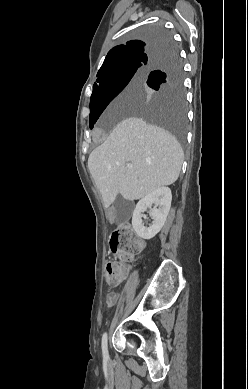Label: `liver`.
<instances>
[{"label":"liver","instance_id":"6515ba94","mask_svg":"<svg viewBox=\"0 0 248 389\" xmlns=\"http://www.w3.org/2000/svg\"><path fill=\"white\" fill-rule=\"evenodd\" d=\"M133 101L130 85L116 104ZM183 151L168 131L143 119L129 117L116 125L106 141L88 158V169L108 208L120 194L125 200L144 198L173 184L183 163ZM127 164H132L128 169Z\"/></svg>","mask_w":248,"mask_h":389}]
</instances>
